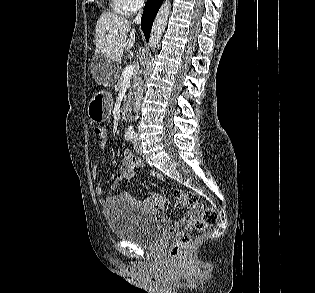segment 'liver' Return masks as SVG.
Wrapping results in <instances>:
<instances>
[{"label": "liver", "mask_w": 315, "mask_h": 293, "mask_svg": "<svg viewBox=\"0 0 315 293\" xmlns=\"http://www.w3.org/2000/svg\"><path fill=\"white\" fill-rule=\"evenodd\" d=\"M130 30L129 20L111 12H103L95 27L96 53L119 63L124 51L130 50L135 43V30Z\"/></svg>", "instance_id": "6515ba94"}]
</instances>
